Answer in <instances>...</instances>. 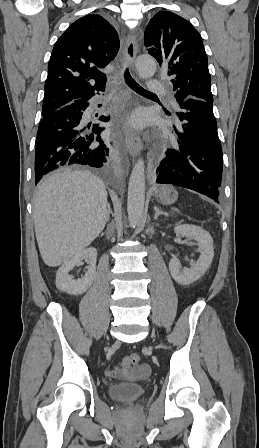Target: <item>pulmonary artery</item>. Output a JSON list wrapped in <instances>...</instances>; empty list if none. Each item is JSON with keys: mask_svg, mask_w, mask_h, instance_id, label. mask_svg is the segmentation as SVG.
<instances>
[{"mask_svg": "<svg viewBox=\"0 0 259 448\" xmlns=\"http://www.w3.org/2000/svg\"><path fill=\"white\" fill-rule=\"evenodd\" d=\"M167 99H168V100H172V97H171V96H168Z\"/></svg>", "mask_w": 259, "mask_h": 448, "instance_id": "e3ab8cb5", "label": "pulmonary artery"}]
</instances>
